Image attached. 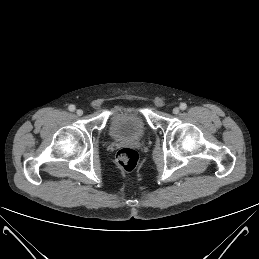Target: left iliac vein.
I'll return each instance as SVG.
<instances>
[{"label":"left iliac vein","mask_w":259,"mask_h":259,"mask_svg":"<svg viewBox=\"0 0 259 259\" xmlns=\"http://www.w3.org/2000/svg\"><path fill=\"white\" fill-rule=\"evenodd\" d=\"M179 111H180V110H179V108H178V107H175V108L173 109V113H174V114H178V113H179Z\"/></svg>","instance_id":"left-iliac-vein-1"}]
</instances>
